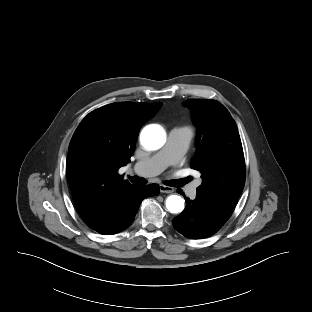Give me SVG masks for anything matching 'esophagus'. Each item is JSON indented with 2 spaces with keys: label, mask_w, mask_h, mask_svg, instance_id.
Listing matches in <instances>:
<instances>
[{
  "label": "esophagus",
  "mask_w": 312,
  "mask_h": 312,
  "mask_svg": "<svg viewBox=\"0 0 312 312\" xmlns=\"http://www.w3.org/2000/svg\"><path fill=\"white\" fill-rule=\"evenodd\" d=\"M159 188H160L161 193H173L174 192L173 187L166 186L164 184H160Z\"/></svg>",
  "instance_id": "34e87169"
}]
</instances>
